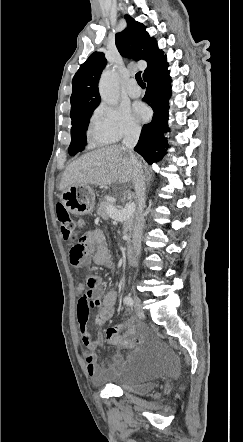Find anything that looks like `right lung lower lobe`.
<instances>
[{
  "label": "right lung lower lobe",
  "mask_w": 243,
  "mask_h": 442,
  "mask_svg": "<svg viewBox=\"0 0 243 442\" xmlns=\"http://www.w3.org/2000/svg\"><path fill=\"white\" fill-rule=\"evenodd\" d=\"M166 56L144 75L147 82L146 94L143 98L154 111L152 121L145 124L135 151L148 163H153L163 156L166 138L163 134L168 129V100L171 97V78L167 70ZM158 151V152H157Z\"/></svg>",
  "instance_id": "98d812e1"
}]
</instances>
